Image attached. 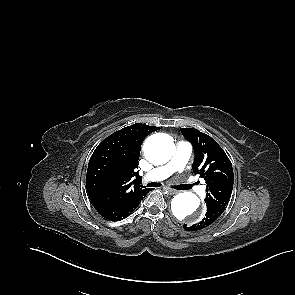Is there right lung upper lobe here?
Returning a JSON list of instances; mask_svg holds the SVG:
<instances>
[{"label":"right lung upper lobe","mask_w":295,"mask_h":295,"mask_svg":"<svg viewBox=\"0 0 295 295\" xmlns=\"http://www.w3.org/2000/svg\"><path fill=\"white\" fill-rule=\"evenodd\" d=\"M158 127L141 123L114 132L93 152L87 169L86 187L91 201L118 204L148 192L138 183L136 171L141 144ZM100 175L96 182L94 176ZM137 177V179H134Z\"/></svg>","instance_id":"obj_1"}]
</instances>
